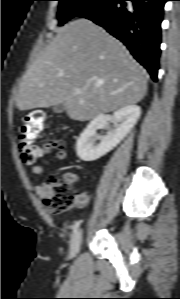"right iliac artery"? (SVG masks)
Returning a JSON list of instances; mask_svg holds the SVG:
<instances>
[{
	"mask_svg": "<svg viewBox=\"0 0 180 299\" xmlns=\"http://www.w3.org/2000/svg\"><path fill=\"white\" fill-rule=\"evenodd\" d=\"M80 223H81V220L77 221V222L73 225V227H72V235H75V234H76V232H77V230H78V228H79V226H80Z\"/></svg>",
	"mask_w": 180,
	"mask_h": 299,
	"instance_id": "right-iliac-artery-1",
	"label": "right iliac artery"
}]
</instances>
